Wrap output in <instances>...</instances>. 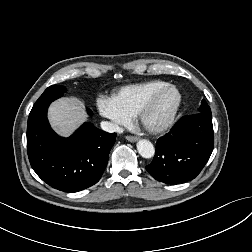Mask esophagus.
<instances>
[{"mask_svg": "<svg viewBox=\"0 0 252 252\" xmlns=\"http://www.w3.org/2000/svg\"><path fill=\"white\" fill-rule=\"evenodd\" d=\"M126 139L129 142H136L138 140V137H136V136H126Z\"/></svg>", "mask_w": 252, "mask_h": 252, "instance_id": "1", "label": "esophagus"}]
</instances>
